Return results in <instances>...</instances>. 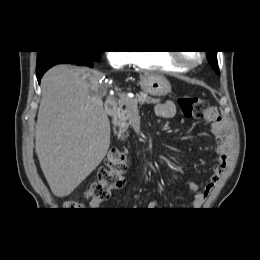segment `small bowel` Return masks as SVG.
<instances>
[{
	"label": "small bowel",
	"mask_w": 260,
	"mask_h": 260,
	"mask_svg": "<svg viewBox=\"0 0 260 260\" xmlns=\"http://www.w3.org/2000/svg\"><path fill=\"white\" fill-rule=\"evenodd\" d=\"M155 113L157 116L162 118H171L176 113V107L174 103L170 100L163 103H159L155 106ZM204 119L211 125L212 132L216 137V152L218 154V161L213 168V172L209 177L208 181L204 185H199L194 181H188L187 186L193 193L192 208H200L208 195L217 184L223 171L225 170L230 154V139H229V129L224 120L218 115H206ZM102 199H92L90 201L91 210H99L103 204ZM158 207L156 201H151L148 203L147 208L154 209Z\"/></svg>",
	"instance_id": "1"
}]
</instances>
